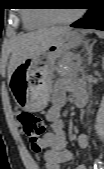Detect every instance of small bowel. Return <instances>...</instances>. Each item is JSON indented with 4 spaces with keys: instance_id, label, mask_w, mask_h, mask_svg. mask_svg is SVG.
Instances as JSON below:
<instances>
[{
    "instance_id": "small-bowel-1",
    "label": "small bowel",
    "mask_w": 104,
    "mask_h": 169,
    "mask_svg": "<svg viewBox=\"0 0 104 169\" xmlns=\"http://www.w3.org/2000/svg\"><path fill=\"white\" fill-rule=\"evenodd\" d=\"M68 92L73 94L75 100L78 97L86 96L84 88L76 81L62 80L55 86L52 106L46 113V119L50 123L52 131L44 134L39 140L40 147L45 149V169H61L62 164L73 160V154L66 149L64 123L61 119V110L65 105ZM77 144L80 151L85 150L88 146L86 135H79ZM76 169H87V167L81 164Z\"/></svg>"
}]
</instances>
